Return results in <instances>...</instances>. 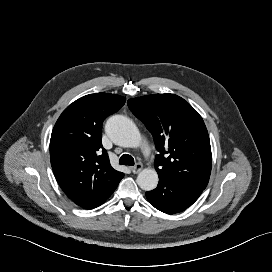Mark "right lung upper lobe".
<instances>
[{
	"mask_svg": "<svg viewBox=\"0 0 272 272\" xmlns=\"http://www.w3.org/2000/svg\"><path fill=\"white\" fill-rule=\"evenodd\" d=\"M126 98L108 93L86 95L70 104L58 118L50 140L55 177L64 193L84 209L104 202L124 174L110 165L102 146L104 119L118 111Z\"/></svg>",
	"mask_w": 272,
	"mask_h": 272,
	"instance_id": "right-lung-upper-lobe-1",
	"label": "right lung upper lobe"
}]
</instances>
